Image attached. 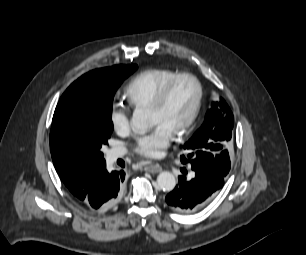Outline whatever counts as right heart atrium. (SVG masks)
Listing matches in <instances>:
<instances>
[{
	"label": "right heart atrium",
	"instance_id": "right-heart-atrium-1",
	"mask_svg": "<svg viewBox=\"0 0 306 255\" xmlns=\"http://www.w3.org/2000/svg\"><path fill=\"white\" fill-rule=\"evenodd\" d=\"M111 125L118 134H127L131 130V118L123 109L113 107L110 113Z\"/></svg>",
	"mask_w": 306,
	"mask_h": 255
}]
</instances>
